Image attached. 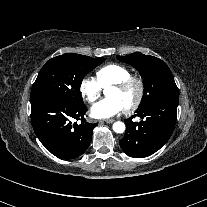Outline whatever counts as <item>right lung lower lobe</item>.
Masks as SVG:
<instances>
[{
  "label": "right lung lower lobe",
  "instance_id": "obj_1",
  "mask_svg": "<svg viewBox=\"0 0 207 207\" xmlns=\"http://www.w3.org/2000/svg\"><path fill=\"white\" fill-rule=\"evenodd\" d=\"M30 101L32 126L46 149L68 160L86 151L96 124L86 122L84 103L72 104L55 96H38ZM73 119L81 123H72Z\"/></svg>",
  "mask_w": 207,
  "mask_h": 207
}]
</instances>
